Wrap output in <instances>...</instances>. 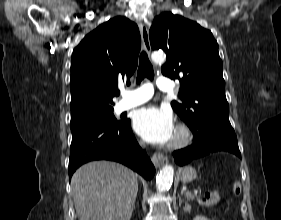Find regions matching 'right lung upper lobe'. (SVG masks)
I'll use <instances>...</instances> for the list:
<instances>
[{
	"instance_id": "right-lung-upper-lobe-1",
	"label": "right lung upper lobe",
	"mask_w": 281,
	"mask_h": 220,
	"mask_svg": "<svg viewBox=\"0 0 281 220\" xmlns=\"http://www.w3.org/2000/svg\"><path fill=\"white\" fill-rule=\"evenodd\" d=\"M141 37L137 25L115 17L90 32L71 60V119L113 109L119 82L134 73Z\"/></svg>"
}]
</instances>
